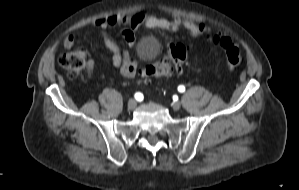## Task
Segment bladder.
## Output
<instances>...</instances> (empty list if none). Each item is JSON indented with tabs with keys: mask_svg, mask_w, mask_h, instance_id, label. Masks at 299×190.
<instances>
[{
	"mask_svg": "<svg viewBox=\"0 0 299 190\" xmlns=\"http://www.w3.org/2000/svg\"><path fill=\"white\" fill-rule=\"evenodd\" d=\"M158 52L157 42L152 38H146L139 43L137 55L144 61L152 60Z\"/></svg>",
	"mask_w": 299,
	"mask_h": 190,
	"instance_id": "obj_1",
	"label": "bladder"
}]
</instances>
